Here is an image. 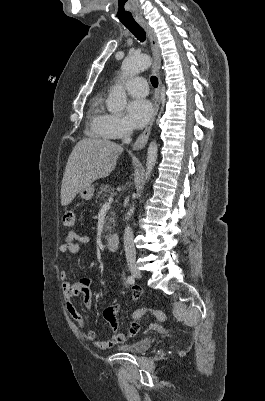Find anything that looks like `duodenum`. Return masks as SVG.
<instances>
[{
	"instance_id": "obj_1",
	"label": "duodenum",
	"mask_w": 265,
	"mask_h": 401,
	"mask_svg": "<svg viewBox=\"0 0 265 401\" xmlns=\"http://www.w3.org/2000/svg\"><path fill=\"white\" fill-rule=\"evenodd\" d=\"M119 238L117 234H111L106 239V246L109 251L115 252L118 249Z\"/></svg>"
}]
</instances>
